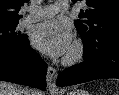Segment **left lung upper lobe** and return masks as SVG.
I'll list each match as a JSON object with an SVG mask.
<instances>
[{
	"instance_id": "1",
	"label": "left lung upper lobe",
	"mask_w": 119,
	"mask_h": 95,
	"mask_svg": "<svg viewBox=\"0 0 119 95\" xmlns=\"http://www.w3.org/2000/svg\"><path fill=\"white\" fill-rule=\"evenodd\" d=\"M84 1L87 7L79 14L82 20L75 21L84 46L119 41V0Z\"/></svg>"
}]
</instances>
